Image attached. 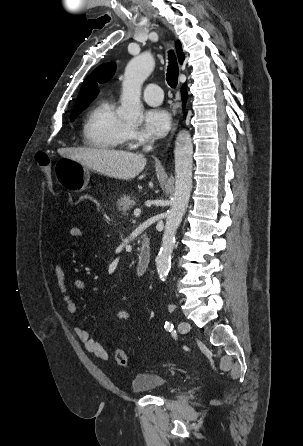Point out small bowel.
Masks as SVG:
<instances>
[{
  "instance_id": "1",
  "label": "small bowel",
  "mask_w": 303,
  "mask_h": 446,
  "mask_svg": "<svg viewBox=\"0 0 303 446\" xmlns=\"http://www.w3.org/2000/svg\"><path fill=\"white\" fill-rule=\"evenodd\" d=\"M68 235L72 239H79L83 236V231L80 227L73 226L68 229ZM53 273L56 278L57 286L62 294L63 301L66 304V308L70 314H75L77 312V305L72 300V298L69 295L68 292V284L66 279V273L64 270V267L60 262H56L53 266ZM71 285L74 289L79 291H85L87 290V284L82 279H73L71 282ZM123 301L126 300V297L124 296L122 298ZM127 316L126 312L119 313L120 318H125ZM74 333L77 336V338L84 344L85 349L94 354L96 357L107 360L108 359V353L106 349L103 347V345L91 338L89 332L84 329L83 327L76 326L74 328Z\"/></svg>"
}]
</instances>
